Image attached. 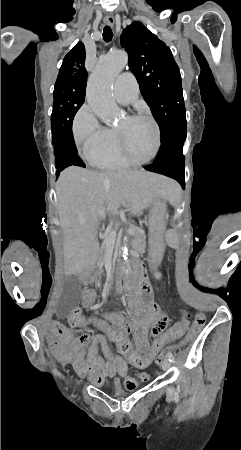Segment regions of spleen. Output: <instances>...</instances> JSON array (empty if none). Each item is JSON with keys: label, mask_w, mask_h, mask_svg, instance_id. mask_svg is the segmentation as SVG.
<instances>
[{"label": "spleen", "mask_w": 241, "mask_h": 450, "mask_svg": "<svg viewBox=\"0 0 241 450\" xmlns=\"http://www.w3.org/2000/svg\"><path fill=\"white\" fill-rule=\"evenodd\" d=\"M166 237H167L166 242L167 244L170 245V248L172 250H177L179 248L178 243L179 240L177 239L178 234L176 233L175 228L173 227L168 228Z\"/></svg>", "instance_id": "spleen-1"}]
</instances>
